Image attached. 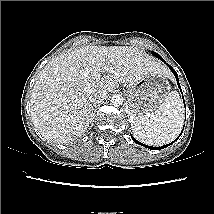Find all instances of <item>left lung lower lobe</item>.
I'll list each match as a JSON object with an SVG mask.
<instances>
[{
    "label": "left lung lower lobe",
    "mask_w": 214,
    "mask_h": 214,
    "mask_svg": "<svg viewBox=\"0 0 214 214\" xmlns=\"http://www.w3.org/2000/svg\"><path fill=\"white\" fill-rule=\"evenodd\" d=\"M161 60H162L163 62H165L162 58H161ZM167 66L170 68V70H171V71L173 72V74L175 75V78H176L178 87H179L180 90H181V87H180V84H179V80H178V74L176 73V71H175L170 65L167 64ZM182 132H183V130H182ZM182 132L180 133V135L182 134ZM180 135H179V136H180ZM179 136H178V138H179ZM131 138H132V140H133L134 142H136L137 144H141V145L146 146V147H148V148H150V149H152V150L166 148V147H168L169 145H171L172 143L175 142V140H174L172 143H170V144H168V145H164V146H161V147H151V146H147V145H144V144L138 142L133 136H131ZM178 138H177V139H178Z\"/></svg>",
    "instance_id": "1"
}]
</instances>
